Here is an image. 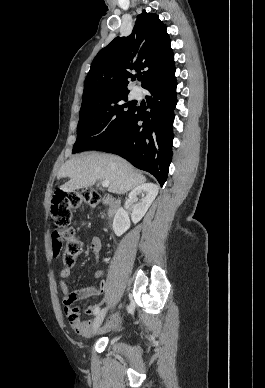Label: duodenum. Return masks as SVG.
<instances>
[{
	"instance_id": "obj_1",
	"label": "duodenum",
	"mask_w": 265,
	"mask_h": 388,
	"mask_svg": "<svg viewBox=\"0 0 265 388\" xmlns=\"http://www.w3.org/2000/svg\"><path fill=\"white\" fill-rule=\"evenodd\" d=\"M118 208H119V203H118V201L115 200V199H112V200L109 202L108 215H109V216L114 215Z\"/></svg>"
}]
</instances>
